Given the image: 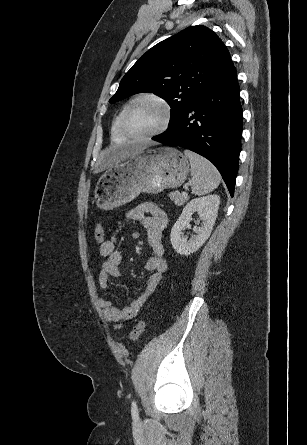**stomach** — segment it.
Masks as SVG:
<instances>
[{"label": "stomach", "mask_w": 307, "mask_h": 445, "mask_svg": "<svg viewBox=\"0 0 307 445\" xmlns=\"http://www.w3.org/2000/svg\"><path fill=\"white\" fill-rule=\"evenodd\" d=\"M189 160L176 148H141L127 162H116L100 176L94 200L98 208L112 210L127 204L141 192L157 194L164 188H177L185 182Z\"/></svg>", "instance_id": "0dacf381"}]
</instances>
